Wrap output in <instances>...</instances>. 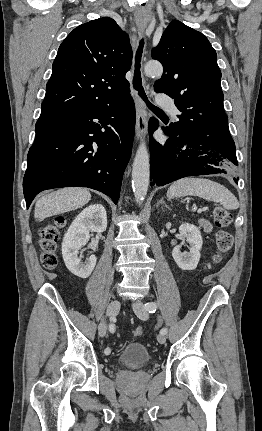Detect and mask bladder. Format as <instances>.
Instances as JSON below:
<instances>
[{
    "label": "bladder",
    "mask_w": 262,
    "mask_h": 431,
    "mask_svg": "<svg viewBox=\"0 0 262 431\" xmlns=\"http://www.w3.org/2000/svg\"><path fill=\"white\" fill-rule=\"evenodd\" d=\"M151 360L147 348L140 342L127 343L118 354L119 363L130 369L146 365Z\"/></svg>",
    "instance_id": "obj_1"
}]
</instances>
